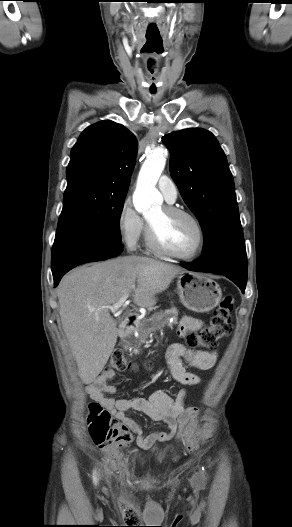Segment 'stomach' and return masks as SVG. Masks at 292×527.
<instances>
[{
  "label": "stomach",
  "mask_w": 292,
  "mask_h": 527,
  "mask_svg": "<svg viewBox=\"0 0 292 527\" xmlns=\"http://www.w3.org/2000/svg\"><path fill=\"white\" fill-rule=\"evenodd\" d=\"M177 293L181 303L197 313L211 311L219 304L222 297L221 289L213 279L191 272L179 274Z\"/></svg>",
  "instance_id": "obj_1"
}]
</instances>
